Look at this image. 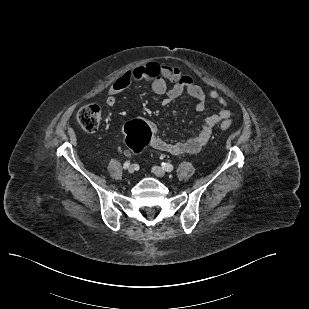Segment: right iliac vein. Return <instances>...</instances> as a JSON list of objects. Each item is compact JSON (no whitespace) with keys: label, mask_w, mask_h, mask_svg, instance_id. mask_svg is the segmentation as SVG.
I'll use <instances>...</instances> for the list:
<instances>
[{"label":"right iliac vein","mask_w":309,"mask_h":309,"mask_svg":"<svg viewBox=\"0 0 309 309\" xmlns=\"http://www.w3.org/2000/svg\"><path fill=\"white\" fill-rule=\"evenodd\" d=\"M135 172V167L133 165H131L129 168H128V173L132 174Z\"/></svg>","instance_id":"63e3f726"}]
</instances>
